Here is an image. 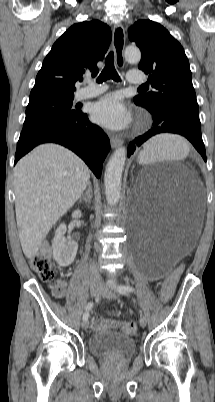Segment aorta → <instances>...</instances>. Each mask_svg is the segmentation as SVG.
<instances>
[{
  "label": "aorta",
  "instance_id": "obj_1",
  "mask_svg": "<svg viewBox=\"0 0 215 402\" xmlns=\"http://www.w3.org/2000/svg\"><path fill=\"white\" fill-rule=\"evenodd\" d=\"M124 57L127 62L135 64L140 61L141 52L137 47L129 46L125 49ZM126 155L125 147L117 148L106 166L104 174L105 194L107 202L111 206H115L120 199Z\"/></svg>",
  "mask_w": 215,
  "mask_h": 402
}]
</instances>
